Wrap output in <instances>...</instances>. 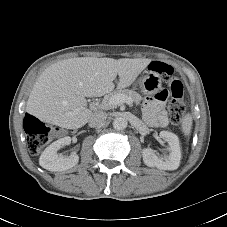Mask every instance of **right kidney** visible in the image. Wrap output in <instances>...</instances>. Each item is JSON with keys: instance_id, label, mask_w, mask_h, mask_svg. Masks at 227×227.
<instances>
[{"instance_id": "obj_1", "label": "right kidney", "mask_w": 227, "mask_h": 227, "mask_svg": "<svg viewBox=\"0 0 227 227\" xmlns=\"http://www.w3.org/2000/svg\"><path fill=\"white\" fill-rule=\"evenodd\" d=\"M70 143L71 138L67 136L50 144L39 158L40 166L49 171H64L74 167L79 161L77 154L73 153L68 157H62L57 153L58 150Z\"/></svg>"}]
</instances>
